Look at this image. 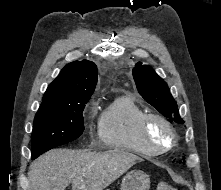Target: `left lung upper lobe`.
<instances>
[{
	"label": "left lung upper lobe",
	"instance_id": "5c2ea615",
	"mask_svg": "<svg viewBox=\"0 0 221 190\" xmlns=\"http://www.w3.org/2000/svg\"><path fill=\"white\" fill-rule=\"evenodd\" d=\"M141 64L138 62L132 71L140 95L164 116L174 117L175 122L184 123L166 82L150 66Z\"/></svg>",
	"mask_w": 221,
	"mask_h": 190
}]
</instances>
